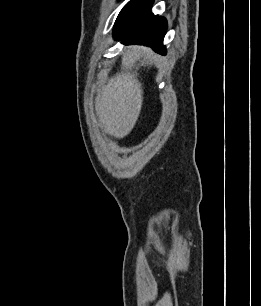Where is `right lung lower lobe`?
<instances>
[{
  "label": "right lung lower lobe",
  "instance_id": "obj_1",
  "mask_svg": "<svg viewBox=\"0 0 261 306\" xmlns=\"http://www.w3.org/2000/svg\"><path fill=\"white\" fill-rule=\"evenodd\" d=\"M153 0H131L119 13L114 25V38L124 44H140L165 54L163 38L167 22L153 15Z\"/></svg>",
  "mask_w": 261,
  "mask_h": 306
}]
</instances>
